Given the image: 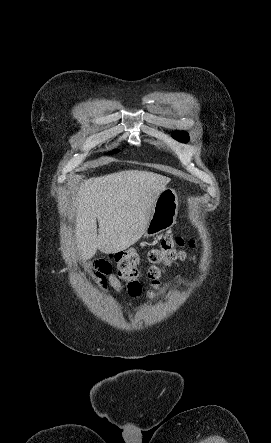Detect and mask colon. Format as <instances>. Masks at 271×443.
I'll return each mask as SVG.
<instances>
[{
	"label": "colon",
	"instance_id": "obj_1",
	"mask_svg": "<svg viewBox=\"0 0 271 443\" xmlns=\"http://www.w3.org/2000/svg\"><path fill=\"white\" fill-rule=\"evenodd\" d=\"M187 241L182 237L165 236L160 245L149 251L148 259L151 266L148 270V277L151 279L154 287L160 283L162 274L161 267L169 266L176 260H185L187 253L184 247ZM190 247H194V241L188 242ZM110 257L117 263L118 275L126 283L127 292L131 297H138L142 293L139 283L140 257L133 249H127L115 252Z\"/></svg>",
	"mask_w": 271,
	"mask_h": 443
}]
</instances>
